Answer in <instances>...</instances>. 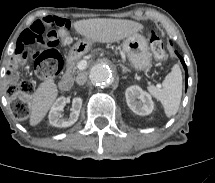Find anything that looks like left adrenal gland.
I'll return each mask as SVG.
<instances>
[{"label":"left adrenal gland","mask_w":215,"mask_h":183,"mask_svg":"<svg viewBox=\"0 0 215 183\" xmlns=\"http://www.w3.org/2000/svg\"><path fill=\"white\" fill-rule=\"evenodd\" d=\"M120 66L122 67L123 73L130 72V70L126 66H124L123 64H120Z\"/></svg>","instance_id":"a2214340"}]
</instances>
